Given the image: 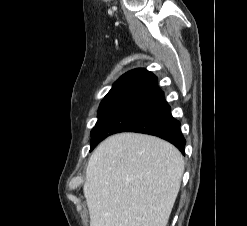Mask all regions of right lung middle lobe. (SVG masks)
I'll list each match as a JSON object with an SVG mask.
<instances>
[{
	"label": "right lung middle lobe",
	"instance_id": "right-lung-middle-lobe-1",
	"mask_svg": "<svg viewBox=\"0 0 247 226\" xmlns=\"http://www.w3.org/2000/svg\"><path fill=\"white\" fill-rule=\"evenodd\" d=\"M116 83H117V82H116ZM116 83L113 84L112 89L108 92V94L104 97V99H103L102 102L100 103L99 110H98V120H99V118L101 117V115H102V113H103V111H104V109H105V107H106V105H107V101H108V99H109V96H110V94H111V92H112V90H113V88H114V86H115ZM97 122H98V121H97ZM91 135H92V131H91Z\"/></svg>",
	"mask_w": 247,
	"mask_h": 226
}]
</instances>
